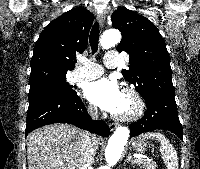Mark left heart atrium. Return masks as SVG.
<instances>
[{
    "label": "left heart atrium",
    "mask_w": 200,
    "mask_h": 169,
    "mask_svg": "<svg viewBox=\"0 0 200 169\" xmlns=\"http://www.w3.org/2000/svg\"><path fill=\"white\" fill-rule=\"evenodd\" d=\"M122 95L117 81L107 78L94 81L85 89V96L91 103L112 114H117Z\"/></svg>",
    "instance_id": "1"
}]
</instances>
